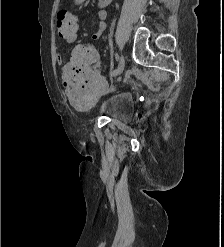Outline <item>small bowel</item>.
Here are the masks:
<instances>
[{
  "instance_id": "1",
  "label": "small bowel",
  "mask_w": 224,
  "mask_h": 247,
  "mask_svg": "<svg viewBox=\"0 0 224 247\" xmlns=\"http://www.w3.org/2000/svg\"><path fill=\"white\" fill-rule=\"evenodd\" d=\"M75 1L78 2V3H80V2H83L84 0H75ZM106 17H107L106 11H104V10L98 11L97 18H98L99 22H98V26H97L96 31L92 35V39L96 40V39H98L104 33V31L106 29V23H105ZM75 40H76V35L73 36V37H71V38H69V39H66V41L68 43H72ZM56 60H57V63L58 64H62L63 58H62V55L60 53L57 54ZM63 82L64 83L67 82L65 76L63 77Z\"/></svg>"
}]
</instances>
